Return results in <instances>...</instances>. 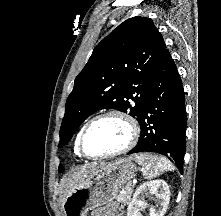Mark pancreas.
<instances>
[{
	"label": "pancreas",
	"instance_id": "pancreas-1",
	"mask_svg": "<svg viewBox=\"0 0 221 216\" xmlns=\"http://www.w3.org/2000/svg\"><path fill=\"white\" fill-rule=\"evenodd\" d=\"M131 194H132V185L127 184L121 191L120 193L116 196V200L119 203H124L128 204L130 199H131Z\"/></svg>",
	"mask_w": 221,
	"mask_h": 216
}]
</instances>
